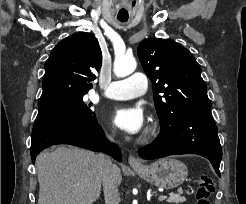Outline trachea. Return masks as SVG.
I'll return each instance as SVG.
<instances>
[{
  "mask_svg": "<svg viewBox=\"0 0 246 204\" xmlns=\"http://www.w3.org/2000/svg\"><path fill=\"white\" fill-rule=\"evenodd\" d=\"M121 22H125V21H127V20H123V19H119Z\"/></svg>",
  "mask_w": 246,
  "mask_h": 204,
  "instance_id": "3493384b",
  "label": "trachea"
}]
</instances>
